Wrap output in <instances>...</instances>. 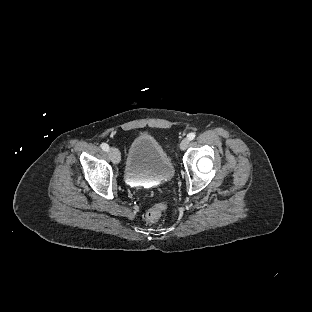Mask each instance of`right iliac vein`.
Instances as JSON below:
<instances>
[{"instance_id":"1","label":"right iliac vein","mask_w":312,"mask_h":312,"mask_svg":"<svg viewBox=\"0 0 312 312\" xmlns=\"http://www.w3.org/2000/svg\"><path fill=\"white\" fill-rule=\"evenodd\" d=\"M108 152H109V156L111 158V161L114 164H118L120 162V153H119L118 149H116L115 147H111V148H109Z\"/></svg>"}]
</instances>
